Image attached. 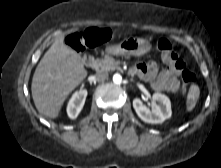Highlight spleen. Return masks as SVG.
<instances>
[{
  "instance_id": "obj_1",
  "label": "spleen",
  "mask_w": 221,
  "mask_h": 168,
  "mask_svg": "<svg viewBox=\"0 0 221 168\" xmlns=\"http://www.w3.org/2000/svg\"><path fill=\"white\" fill-rule=\"evenodd\" d=\"M199 88L197 85H193L190 89L189 95H188V104H187V110L191 111L197 102V99L199 97Z\"/></svg>"
}]
</instances>
